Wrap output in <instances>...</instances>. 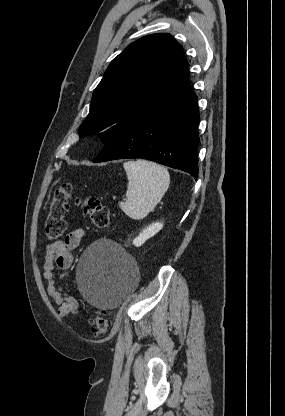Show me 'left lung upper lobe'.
Wrapping results in <instances>:
<instances>
[{
  "label": "left lung upper lobe",
  "mask_w": 285,
  "mask_h": 416,
  "mask_svg": "<svg viewBox=\"0 0 285 416\" xmlns=\"http://www.w3.org/2000/svg\"><path fill=\"white\" fill-rule=\"evenodd\" d=\"M189 64L170 34L131 43L96 87L80 137L98 134L106 144L132 122L168 103L188 86Z\"/></svg>",
  "instance_id": "left-lung-upper-lobe-1"
}]
</instances>
